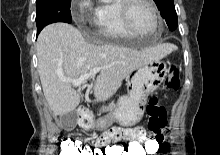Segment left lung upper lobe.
Instances as JSON below:
<instances>
[{
	"label": "left lung upper lobe",
	"mask_w": 220,
	"mask_h": 155,
	"mask_svg": "<svg viewBox=\"0 0 220 155\" xmlns=\"http://www.w3.org/2000/svg\"><path fill=\"white\" fill-rule=\"evenodd\" d=\"M161 16L165 19L170 30L177 28V14L173 0H154Z\"/></svg>",
	"instance_id": "obj_1"
}]
</instances>
